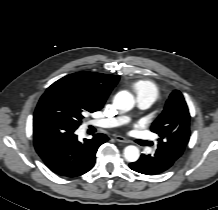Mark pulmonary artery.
Listing matches in <instances>:
<instances>
[{
    "label": "pulmonary artery",
    "mask_w": 218,
    "mask_h": 210,
    "mask_svg": "<svg viewBox=\"0 0 218 210\" xmlns=\"http://www.w3.org/2000/svg\"><path fill=\"white\" fill-rule=\"evenodd\" d=\"M154 102V98L151 94L144 93L138 95L137 97V105L140 109H148ZM128 121L127 117H117V118H109V119H101L92 121L91 124L94 126L102 127V128H112L120 126Z\"/></svg>",
    "instance_id": "pulmonary-artery-1"
}]
</instances>
